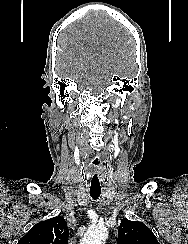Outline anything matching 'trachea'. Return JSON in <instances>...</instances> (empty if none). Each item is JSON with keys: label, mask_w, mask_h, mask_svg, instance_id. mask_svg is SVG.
I'll return each mask as SVG.
<instances>
[{"label": "trachea", "mask_w": 188, "mask_h": 244, "mask_svg": "<svg viewBox=\"0 0 188 244\" xmlns=\"http://www.w3.org/2000/svg\"><path fill=\"white\" fill-rule=\"evenodd\" d=\"M89 188L92 199H98L103 191L102 180H91V183H89Z\"/></svg>", "instance_id": "trachea-1"}]
</instances>
